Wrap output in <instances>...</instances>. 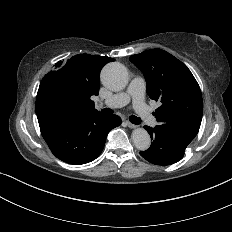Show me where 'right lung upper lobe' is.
Segmentation results:
<instances>
[{
  "instance_id": "obj_1",
  "label": "right lung upper lobe",
  "mask_w": 232,
  "mask_h": 232,
  "mask_svg": "<svg viewBox=\"0 0 232 232\" xmlns=\"http://www.w3.org/2000/svg\"><path fill=\"white\" fill-rule=\"evenodd\" d=\"M115 59L80 54L55 64L39 86L36 97L37 117L55 113L89 114L95 110L91 96L98 95L100 71Z\"/></svg>"
}]
</instances>
